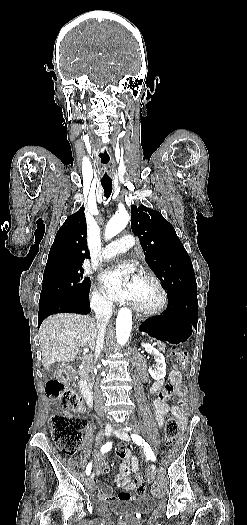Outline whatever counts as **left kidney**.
<instances>
[{
    "mask_svg": "<svg viewBox=\"0 0 247 525\" xmlns=\"http://www.w3.org/2000/svg\"><path fill=\"white\" fill-rule=\"evenodd\" d=\"M141 347H144L145 351L147 353H151V355H154V359L156 361V371H151V375H166V365H165V359L164 355L162 353H159L157 349H154L152 345H149V343H141Z\"/></svg>",
    "mask_w": 247,
    "mask_h": 525,
    "instance_id": "left-kidney-1",
    "label": "left kidney"
}]
</instances>
